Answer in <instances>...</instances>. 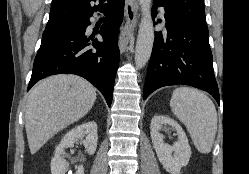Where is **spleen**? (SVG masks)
<instances>
[{"instance_id":"spleen-1","label":"spleen","mask_w":249,"mask_h":174,"mask_svg":"<svg viewBox=\"0 0 249 174\" xmlns=\"http://www.w3.org/2000/svg\"><path fill=\"white\" fill-rule=\"evenodd\" d=\"M170 107L186 126L197 150L210 153L217 131V112L211 99L197 89L179 87L173 91Z\"/></svg>"}]
</instances>
